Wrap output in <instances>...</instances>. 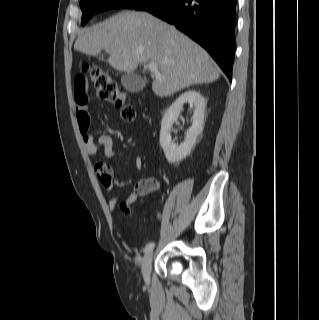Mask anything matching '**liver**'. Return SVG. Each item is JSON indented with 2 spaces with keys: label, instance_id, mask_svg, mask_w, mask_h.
Wrapping results in <instances>:
<instances>
[{
  "label": "liver",
  "instance_id": "liver-1",
  "mask_svg": "<svg viewBox=\"0 0 319 320\" xmlns=\"http://www.w3.org/2000/svg\"><path fill=\"white\" fill-rule=\"evenodd\" d=\"M74 49L92 56L104 50L109 54L107 63L125 73H132L142 63L155 62L162 79L155 76L152 90L160 97L194 84L212 83L220 76L202 47L146 12L124 11L82 30Z\"/></svg>",
  "mask_w": 319,
  "mask_h": 320
}]
</instances>
